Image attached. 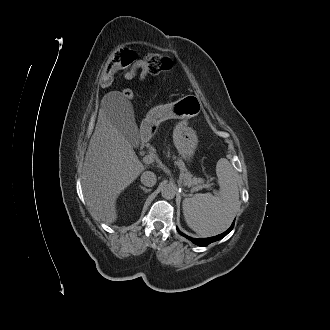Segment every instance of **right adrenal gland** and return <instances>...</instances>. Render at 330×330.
Returning a JSON list of instances; mask_svg holds the SVG:
<instances>
[{
    "label": "right adrenal gland",
    "mask_w": 330,
    "mask_h": 330,
    "mask_svg": "<svg viewBox=\"0 0 330 330\" xmlns=\"http://www.w3.org/2000/svg\"><path fill=\"white\" fill-rule=\"evenodd\" d=\"M139 187H140L145 193H147V192L150 191L149 189H147L146 187H144V186H142V185H139Z\"/></svg>",
    "instance_id": "2a0ac1e0"
}]
</instances>
